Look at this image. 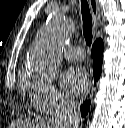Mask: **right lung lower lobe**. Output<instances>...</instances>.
Wrapping results in <instances>:
<instances>
[{
    "instance_id": "1",
    "label": "right lung lower lobe",
    "mask_w": 125,
    "mask_h": 128,
    "mask_svg": "<svg viewBox=\"0 0 125 128\" xmlns=\"http://www.w3.org/2000/svg\"><path fill=\"white\" fill-rule=\"evenodd\" d=\"M104 51V45L102 39H98L92 46L91 54L93 57V75H94V82L99 79L101 68H102V55ZM90 109V101H85L84 104L81 106V114L85 116Z\"/></svg>"
}]
</instances>
